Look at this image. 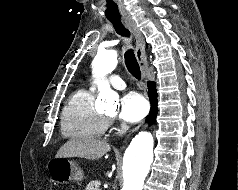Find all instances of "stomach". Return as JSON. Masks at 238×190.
I'll use <instances>...</instances> for the list:
<instances>
[{
  "label": "stomach",
  "mask_w": 238,
  "mask_h": 190,
  "mask_svg": "<svg viewBox=\"0 0 238 190\" xmlns=\"http://www.w3.org/2000/svg\"><path fill=\"white\" fill-rule=\"evenodd\" d=\"M47 170L51 179L60 184L82 181L84 178L83 170L78 164L65 158L51 159L47 164Z\"/></svg>",
  "instance_id": "0dacf381"
}]
</instances>
